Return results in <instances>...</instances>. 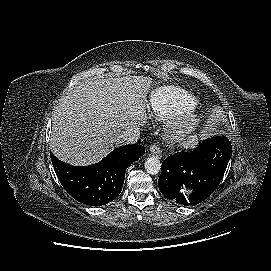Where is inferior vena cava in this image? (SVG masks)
<instances>
[{"instance_id": "1", "label": "inferior vena cava", "mask_w": 271, "mask_h": 271, "mask_svg": "<svg viewBox=\"0 0 271 271\" xmlns=\"http://www.w3.org/2000/svg\"><path fill=\"white\" fill-rule=\"evenodd\" d=\"M140 138L139 129H129L119 134L115 140L117 146L130 145L136 143Z\"/></svg>"}]
</instances>
